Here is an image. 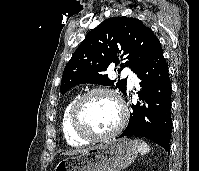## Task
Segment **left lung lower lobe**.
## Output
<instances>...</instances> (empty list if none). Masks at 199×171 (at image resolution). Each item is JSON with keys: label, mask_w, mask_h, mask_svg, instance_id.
Wrapping results in <instances>:
<instances>
[{"label": "left lung lower lobe", "mask_w": 199, "mask_h": 171, "mask_svg": "<svg viewBox=\"0 0 199 171\" xmlns=\"http://www.w3.org/2000/svg\"><path fill=\"white\" fill-rule=\"evenodd\" d=\"M141 80L137 93L141 102L132 104L128 126L119 136L148 138L168 153L172 133L171 82L160 42L134 72Z\"/></svg>", "instance_id": "0a47b994"}]
</instances>
